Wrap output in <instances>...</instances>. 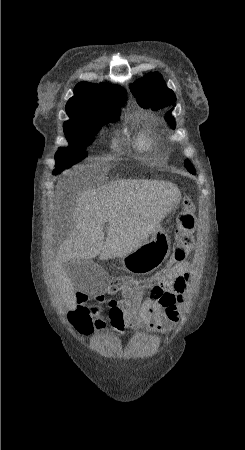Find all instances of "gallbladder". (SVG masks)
Segmentation results:
<instances>
[{
  "instance_id": "1",
  "label": "gallbladder",
  "mask_w": 245,
  "mask_h": 450,
  "mask_svg": "<svg viewBox=\"0 0 245 450\" xmlns=\"http://www.w3.org/2000/svg\"><path fill=\"white\" fill-rule=\"evenodd\" d=\"M87 266V261L69 263L67 265L68 275L70 276V278L76 280L80 275L83 274Z\"/></svg>"
}]
</instances>
